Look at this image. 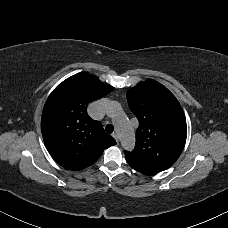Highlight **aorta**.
<instances>
[{
    "label": "aorta",
    "instance_id": "aorta-1",
    "mask_svg": "<svg viewBox=\"0 0 228 228\" xmlns=\"http://www.w3.org/2000/svg\"><path fill=\"white\" fill-rule=\"evenodd\" d=\"M106 113L114 119L123 148L131 150L135 144V133L123 114L121 105L117 101H110L106 106Z\"/></svg>",
    "mask_w": 228,
    "mask_h": 228
}]
</instances>
